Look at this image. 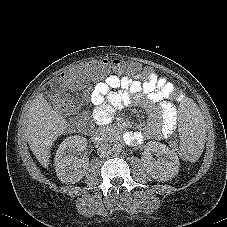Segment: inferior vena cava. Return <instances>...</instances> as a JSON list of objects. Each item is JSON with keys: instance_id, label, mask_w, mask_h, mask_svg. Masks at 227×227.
<instances>
[{"instance_id": "602c4592", "label": "inferior vena cava", "mask_w": 227, "mask_h": 227, "mask_svg": "<svg viewBox=\"0 0 227 227\" xmlns=\"http://www.w3.org/2000/svg\"><path fill=\"white\" fill-rule=\"evenodd\" d=\"M112 153V148L108 143H102L98 148V155L100 157H108Z\"/></svg>"}]
</instances>
